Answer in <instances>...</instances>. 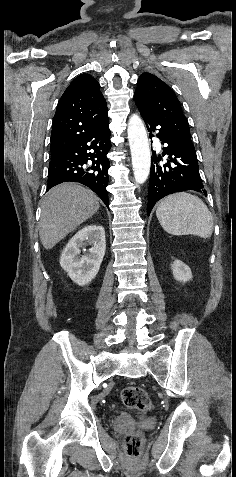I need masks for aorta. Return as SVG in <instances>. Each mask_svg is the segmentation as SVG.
Listing matches in <instances>:
<instances>
[{"mask_svg": "<svg viewBox=\"0 0 236 477\" xmlns=\"http://www.w3.org/2000/svg\"><path fill=\"white\" fill-rule=\"evenodd\" d=\"M127 134L134 178L138 184H143L150 173L151 153L144 123L137 114L130 117Z\"/></svg>", "mask_w": 236, "mask_h": 477, "instance_id": "obj_1", "label": "aorta"}]
</instances>
